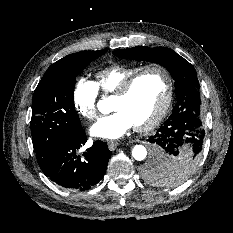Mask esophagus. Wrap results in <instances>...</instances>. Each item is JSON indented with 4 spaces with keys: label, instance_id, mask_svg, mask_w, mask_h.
Here are the masks:
<instances>
[{
    "label": "esophagus",
    "instance_id": "34e87169",
    "mask_svg": "<svg viewBox=\"0 0 233 233\" xmlns=\"http://www.w3.org/2000/svg\"><path fill=\"white\" fill-rule=\"evenodd\" d=\"M118 145H119V142H117V141H109L108 142V147L111 151H114Z\"/></svg>",
    "mask_w": 233,
    "mask_h": 233
}]
</instances>
